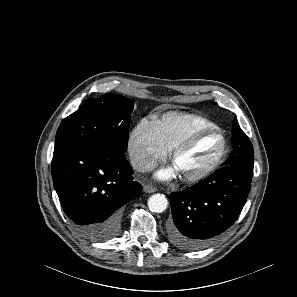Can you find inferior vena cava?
<instances>
[{
  "label": "inferior vena cava",
  "mask_w": 297,
  "mask_h": 297,
  "mask_svg": "<svg viewBox=\"0 0 297 297\" xmlns=\"http://www.w3.org/2000/svg\"><path fill=\"white\" fill-rule=\"evenodd\" d=\"M132 167L138 172H148L151 171L155 164L153 161L145 158H133L131 161Z\"/></svg>",
  "instance_id": "obj_1"
}]
</instances>
